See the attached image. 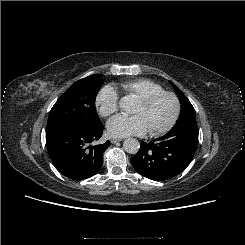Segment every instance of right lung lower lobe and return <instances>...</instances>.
<instances>
[{
  "label": "right lung lower lobe",
  "instance_id": "obj_1",
  "mask_svg": "<svg viewBox=\"0 0 245 245\" xmlns=\"http://www.w3.org/2000/svg\"><path fill=\"white\" fill-rule=\"evenodd\" d=\"M103 126L86 129L71 125L46 128V144L49 156L56 169L73 180H83L95 175L103 163V153L110 146H92L103 134Z\"/></svg>",
  "mask_w": 245,
  "mask_h": 245
}]
</instances>
